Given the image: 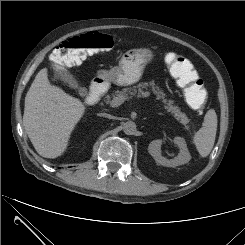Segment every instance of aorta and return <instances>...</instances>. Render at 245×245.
Listing matches in <instances>:
<instances>
[{
	"label": "aorta",
	"instance_id": "762f6f07",
	"mask_svg": "<svg viewBox=\"0 0 245 245\" xmlns=\"http://www.w3.org/2000/svg\"><path fill=\"white\" fill-rule=\"evenodd\" d=\"M123 131L126 135H133L137 131L136 124L133 121H127L123 125Z\"/></svg>",
	"mask_w": 245,
	"mask_h": 245
}]
</instances>
